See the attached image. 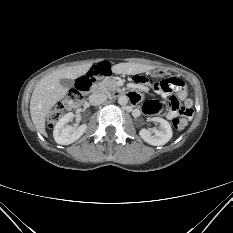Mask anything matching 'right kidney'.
Returning a JSON list of instances; mask_svg holds the SVG:
<instances>
[{
	"label": "right kidney",
	"instance_id": "obj_1",
	"mask_svg": "<svg viewBox=\"0 0 233 233\" xmlns=\"http://www.w3.org/2000/svg\"><path fill=\"white\" fill-rule=\"evenodd\" d=\"M73 117L74 114L72 112L67 113L55 125L53 137L56 143L61 145H69L78 140L86 131V124H83L76 129L68 125Z\"/></svg>",
	"mask_w": 233,
	"mask_h": 233
}]
</instances>
